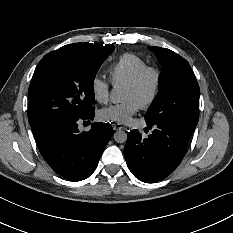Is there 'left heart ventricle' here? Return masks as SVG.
<instances>
[{
  "label": "left heart ventricle",
  "mask_w": 233,
  "mask_h": 233,
  "mask_svg": "<svg viewBox=\"0 0 233 233\" xmlns=\"http://www.w3.org/2000/svg\"><path fill=\"white\" fill-rule=\"evenodd\" d=\"M153 86L154 76L152 74H147L140 86H138L137 88H124L123 100L133 98L143 104L151 95Z\"/></svg>",
  "instance_id": "b2bd125f"
}]
</instances>
